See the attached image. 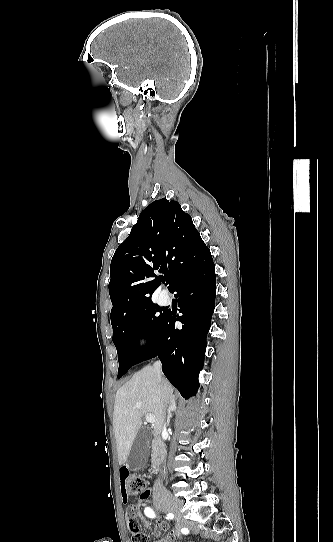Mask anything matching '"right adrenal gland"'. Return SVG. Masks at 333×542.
Here are the masks:
<instances>
[{"mask_svg": "<svg viewBox=\"0 0 333 542\" xmlns=\"http://www.w3.org/2000/svg\"><path fill=\"white\" fill-rule=\"evenodd\" d=\"M172 412H176V402L174 400V402H172V404H170L169 406V410L167 412L168 416H167V424L169 426L170 424V418H172Z\"/></svg>", "mask_w": 333, "mask_h": 542, "instance_id": "1", "label": "right adrenal gland"}]
</instances>
